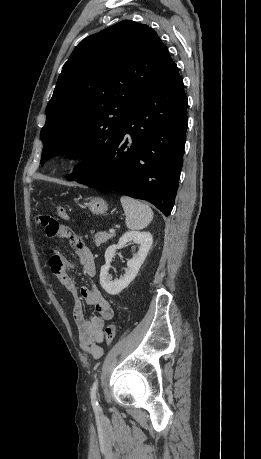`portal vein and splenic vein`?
Wrapping results in <instances>:
<instances>
[{
  "label": "portal vein and splenic vein",
  "instance_id": "18ae733b",
  "mask_svg": "<svg viewBox=\"0 0 261 459\" xmlns=\"http://www.w3.org/2000/svg\"><path fill=\"white\" fill-rule=\"evenodd\" d=\"M109 232H110V233H115V230H114L113 228H110V229H109Z\"/></svg>",
  "mask_w": 261,
  "mask_h": 459
}]
</instances>
